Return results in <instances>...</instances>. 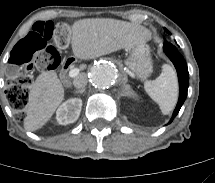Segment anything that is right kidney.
Masks as SVG:
<instances>
[{"label": "right kidney", "mask_w": 215, "mask_h": 183, "mask_svg": "<svg viewBox=\"0 0 215 183\" xmlns=\"http://www.w3.org/2000/svg\"><path fill=\"white\" fill-rule=\"evenodd\" d=\"M81 108L82 100L80 98L68 99L56 111L57 122L61 125L74 123L79 118Z\"/></svg>", "instance_id": "right-kidney-1"}]
</instances>
